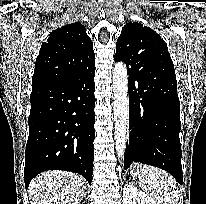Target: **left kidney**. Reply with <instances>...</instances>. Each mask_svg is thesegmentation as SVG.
Wrapping results in <instances>:
<instances>
[{
	"label": "left kidney",
	"mask_w": 206,
	"mask_h": 204,
	"mask_svg": "<svg viewBox=\"0 0 206 204\" xmlns=\"http://www.w3.org/2000/svg\"><path fill=\"white\" fill-rule=\"evenodd\" d=\"M123 204H155V202L133 184L127 183L123 188Z\"/></svg>",
	"instance_id": "left-kidney-1"
}]
</instances>
